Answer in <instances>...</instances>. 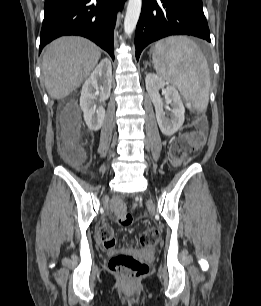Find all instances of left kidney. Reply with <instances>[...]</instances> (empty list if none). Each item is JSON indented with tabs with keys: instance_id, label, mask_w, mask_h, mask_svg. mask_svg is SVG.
Masks as SVG:
<instances>
[{
	"instance_id": "left-kidney-1",
	"label": "left kidney",
	"mask_w": 261,
	"mask_h": 306,
	"mask_svg": "<svg viewBox=\"0 0 261 306\" xmlns=\"http://www.w3.org/2000/svg\"><path fill=\"white\" fill-rule=\"evenodd\" d=\"M146 89L154 104L156 118L161 132L166 136L175 134L183 125L185 108L175 87L168 85L161 77L148 73L145 78ZM166 86V88H165ZM165 96L166 105L170 109V118L166 117L159 90Z\"/></svg>"
}]
</instances>
